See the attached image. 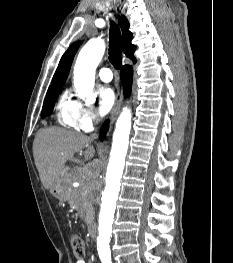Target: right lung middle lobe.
Segmentation results:
<instances>
[{
  "mask_svg": "<svg viewBox=\"0 0 233 263\" xmlns=\"http://www.w3.org/2000/svg\"><path fill=\"white\" fill-rule=\"evenodd\" d=\"M61 87L49 89L47 92V96L44 100L43 108H42V118L49 116L52 113L54 104L59 95Z\"/></svg>",
  "mask_w": 233,
  "mask_h": 263,
  "instance_id": "right-lung-middle-lobe-1",
  "label": "right lung middle lobe"
}]
</instances>
